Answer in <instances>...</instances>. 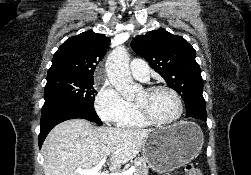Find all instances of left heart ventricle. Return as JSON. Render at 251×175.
Returning <instances> with one entry per match:
<instances>
[{
  "mask_svg": "<svg viewBox=\"0 0 251 175\" xmlns=\"http://www.w3.org/2000/svg\"><path fill=\"white\" fill-rule=\"evenodd\" d=\"M134 104L140 110L150 113L162 122L175 121L180 113L175 95L167 90L148 91L143 89L137 94Z\"/></svg>",
  "mask_w": 251,
  "mask_h": 175,
  "instance_id": "left-heart-ventricle-1",
  "label": "left heart ventricle"
}]
</instances>
